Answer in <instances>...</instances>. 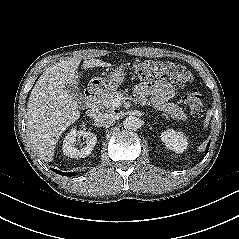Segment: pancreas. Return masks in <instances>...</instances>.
<instances>
[{
  "mask_svg": "<svg viewBox=\"0 0 239 239\" xmlns=\"http://www.w3.org/2000/svg\"><path fill=\"white\" fill-rule=\"evenodd\" d=\"M117 97L123 98L124 93L116 90L105 92L100 97V104L103 108L110 111L115 110L117 106L113 104V100ZM156 109L170 115L171 118L176 120L186 121L187 119L183 109L174 103L161 101L158 105H156Z\"/></svg>",
  "mask_w": 239,
  "mask_h": 239,
  "instance_id": "obj_1",
  "label": "pancreas"
}]
</instances>
